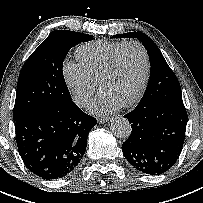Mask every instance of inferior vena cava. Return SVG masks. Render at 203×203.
Returning a JSON list of instances; mask_svg holds the SVG:
<instances>
[{
  "mask_svg": "<svg viewBox=\"0 0 203 203\" xmlns=\"http://www.w3.org/2000/svg\"><path fill=\"white\" fill-rule=\"evenodd\" d=\"M84 101H86V97L84 96V97H81V98H79V100H77V103H83Z\"/></svg>",
  "mask_w": 203,
  "mask_h": 203,
  "instance_id": "602c4592",
  "label": "inferior vena cava"
}]
</instances>
